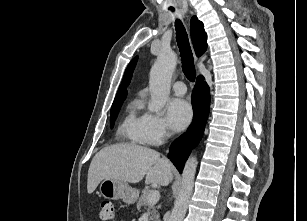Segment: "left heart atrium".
<instances>
[{
	"label": "left heart atrium",
	"mask_w": 307,
	"mask_h": 221,
	"mask_svg": "<svg viewBox=\"0 0 307 221\" xmlns=\"http://www.w3.org/2000/svg\"><path fill=\"white\" fill-rule=\"evenodd\" d=\"M192 119V109L189 103L181 98L172 99L167 105V120L175 131L185 129Z\"/></svg>",
	"instance_id": "1"
}]
</instances>
